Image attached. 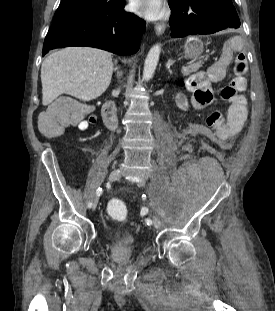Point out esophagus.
<instances>
[{"label": "esophagus", "instance_id": "34e87169", "mask_svg": "<svg viewBox=\"0 0 275 311\" xmlns=\"http://www.w3.org/2000/svg\"><path fill=\"white\" fill-rule=\"evenodd\" d=\"M166 29L165 23H156L155 24V31L157 35H162Z\"/></svg>", "mask_w": 275, "mask_h": 311}]
</instances>
